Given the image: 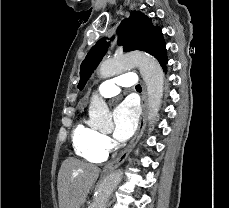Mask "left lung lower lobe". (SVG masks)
<instances>
[{
  "instance_id": "1",
  "label": "left lung lower lobe",
  "mask_w": 229,
  "mask_h": 208,
  "mask_svg": "<svg viewBox=\"0 0 229 208\" xmlns=\"http://www.w3.org/2000/svg\"><path fill=\"white\" fill-rule=\"evenodd\" d=\"M168 60H165L164 62L160 63V65L162 66L163 70L166 71V64H167Z\"/></svg>"
}]
</instances>
